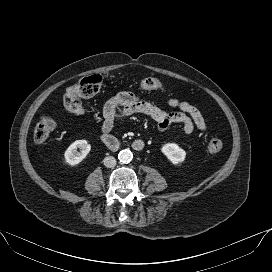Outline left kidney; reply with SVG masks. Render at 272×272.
<instances>
[{"label":"left kidney","instance_id":"left-kidney-1","mask_svg":"<svg viewBox=\"0 0 272 272\" xmlns=\"http://www.w3.org/2000/svg\"><path fill=\"white\" fill-rule=\"evenodd\" d=\"M161 151L174 165L182 163L186 157V152L175 143L164 144Z\"/></svg>","mask_w":272,"mask_h":272}]
</instances>
